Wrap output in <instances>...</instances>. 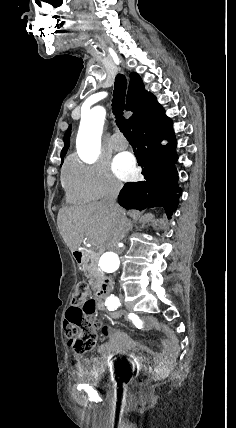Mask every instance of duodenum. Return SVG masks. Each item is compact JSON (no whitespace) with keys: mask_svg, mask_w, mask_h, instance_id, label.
I'll list each match as a JSON object with an SVG mask.
<instances>
[{"mask_svg":"<svg viewBox=\"0 0 236 428\" xmlns=\"http://www.w3.org/2000/svg\"><path fill=\"white\" fill-rule=\"evenodd\" d=\"M73 258L79 266L83 265L84 261V251L82 249L73 250ZM113 288V281L110 278H105L102 282L96 287L93 292L94 299L96 301H101L106 299Z\"/></svg>","mask_w":236,"mask_h":428,"instance_id":"obj_1","label":"duodenum"}]
</instances>
